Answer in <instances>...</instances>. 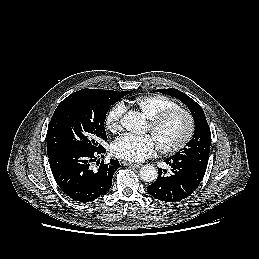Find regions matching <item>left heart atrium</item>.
<instances>
[{
  "mask_svg": "<svg viewBox=\"0 0 259 259\" xmlns=\"http://www.w3.org/2000/svg\"><path fill=\"white\" fill-rule=\"evenodd\" d=\"M155 150L156 143L149 135L137 137L125 134L118 138L111 147L114 156L130 162H141L151 157Z\"/></svg>",
  "mask_w": 259,
  "mask_h": 259,
  "instance_id": "left-heart-atrium-1",
  "label": "left heart atrium"
}]
</instances>
